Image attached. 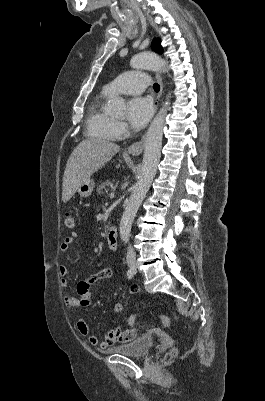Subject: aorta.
Listing matches in <instances>:
<instances>
[{"instance_id": "obj_1", "label": "aorta", "mask_w": 265, "mask_h": 401, "mask_svg": "<svg viewBox=\"0 0 265 401\" xmlns=\"http://www.w3.org/2000/svg\"><path fill=\"white\" fill-rule=\"evenodd\" d=\"M131 66H133V68H152V70L168 72L166 60L161 58V56H157L155 52H142V54L133 56ZM167 104H169L168 100H166L165 104H163L162 108L157 112L155 118H153L146 134L143 164L139 172L138 180L136 184L132 186L129 203L120 221V239L121 241H124V243H128L129 241L134 217H136V213L156 174L161 156L162 136L165 116L167 114ZM114 106L116 110H118V108H123L124 98H117L116 102H114Z\"/></svg>"}]
</instances>
